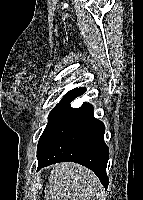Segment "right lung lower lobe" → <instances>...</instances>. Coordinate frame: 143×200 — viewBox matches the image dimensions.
<instances>
[{"mask_svg":"<svg viewBox=\"0 0 143 200\" xmlns=\"http://www.w3.org/2000/svg\"><path fill=\"white\" fill-rule=\"evenodd\" d=\"M85 91V88L69 91L49 114V123L38 142L37 170L57 162H76L90 168L107 188L109 148L104 143L105 126L94 117L91 104L69 107Z\"/></svg>","mask_w":143,"mask_h":200,"instance_id":"obj_1","label":"right lung lower lobe"}]
</instances>
